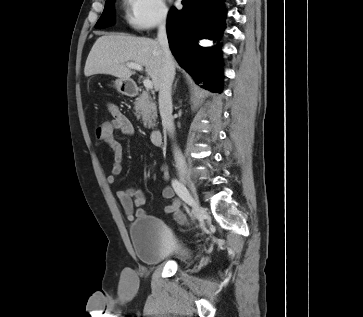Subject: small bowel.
Returning a JSON list of instances; mask_svg holds the SVG:
<instances>
[{
  "instance_id": "small-bowel-1",
  "label": "small bowel",
  "mask_w": 363,
  "mask_h": 317,
  "mask_svg": "<svg viewBox=\"0 0 363 317\" xmlns=\"http://www.w3.org/2000/svg\"><path fill=\"white\" fill-rule=\"evenodd\" d=\"M108 110L112 115V120L104 123L98 131H95V133L96 136L112 150L114 164L110 174L107 176V182L112 185L116 182V178L122 172L123 161V146L116 140L115 132L118 131L125 136H130L133 134L134 128L129 118L116 105L109 104ZM161 174L163 180H169V171L165 165L161 166ZM162 194L164 198L171 200V203L164 208V212L178 215L180 213L181 202L179 199L175 198L173 189L170 186H166L164 187ZM115 196L129 220H134L137 217L145 215V211L141 206L145 203L146 198L141 189L131 187L125 190H118L115 192Z\"/></svg>"
}]
</instances>
